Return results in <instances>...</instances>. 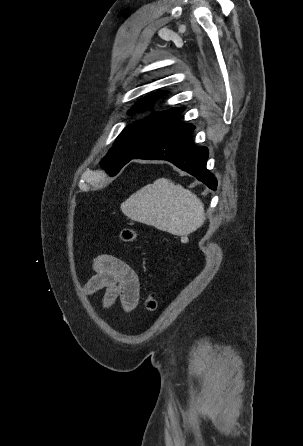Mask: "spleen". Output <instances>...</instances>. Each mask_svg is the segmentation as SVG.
Instances as JSON below:
<instances>
[{
  "label": "spleen",
  "instance_id": "obj_1",
  "mask_svg": "<svg viewBox=\"0 0 303 446\" xmlns=\"http://www.w3.org/2000/svg\"><path fill=\"white\" fill-rule=\"evenodd\" d=\"M121 210L133 221L176 236L196 231L205 221L201 200L166 178H159L132 194L121 204Z\"/></svg>",
  "mask_w": 303,
  "mask_h": 446
}]
</instances>
